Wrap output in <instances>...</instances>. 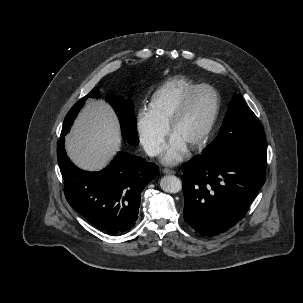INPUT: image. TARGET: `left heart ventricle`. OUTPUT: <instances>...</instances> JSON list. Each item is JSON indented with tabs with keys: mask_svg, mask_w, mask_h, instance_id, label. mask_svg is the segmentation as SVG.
Listing matches in <instances>:
<instances>
[{
	"mask_svg": "<svg viewBox=\"0 0 303 303\" xmlns=\"http://www.w3.org/2000/svg\"><path fill=\"white\" fill-rule=\"evenodd\" d=\"M216 98L212 91L204 89L191 101L189 108L178 121L173 134L188 146L206 128L215 108Z\"/></svg>",
	"mask_w": 303,
	"mask_h": 303,
	"instance_id": "left-heart-ventricle-1",
	"label": "left heart ventricle"
}]
</instances>
